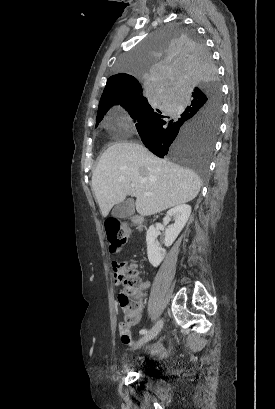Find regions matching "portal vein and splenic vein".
Instances as JSON below:
<instances>
[{
	"label": "portal vein and splenic vein",
	"instance_id": "portal-vein-and-splenic-vein-1",
	"mask_svg": "<svg viewBox=\"0 0 275 409\" xmlns=\"http://www.w3.org/2000/svg\"><path fill=\"white\" fill-rule=\"evenodd\" d=\"M131 186H135L134 182H132ZM144 194H151V192H144Z\"/></svg>",
	"mask_w": 275,
	"mask_h": 409
}]
</instances>
